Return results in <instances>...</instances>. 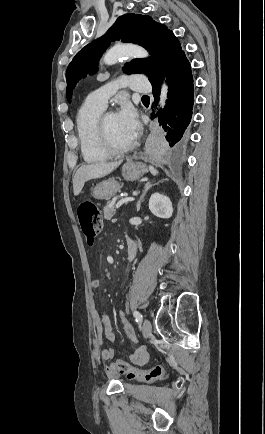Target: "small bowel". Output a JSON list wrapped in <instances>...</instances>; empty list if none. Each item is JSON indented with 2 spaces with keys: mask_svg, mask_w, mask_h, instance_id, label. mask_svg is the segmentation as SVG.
Returning <instances> with one entry per match:
<instances>
[{
  "mask_svg": "<svg viewBox=\"0 0 265 434\" xmlns=\"http://www.w3.org/2000/svg\"><path fill=\"white\" fill-rule=\"evenodd\" d=\"M132 241V240H131ZM130 241V242H131ZM101 286V283L98 279H94L91 282V289L93 291L98 290ZM119 319L122 323V326L128 335L129 339L138 345V348L135 353V359L140 361H145L149 358V354L146 350V347L143 344H140L135 332L133 330L132 325L128 321L126 314L123 311H119L118 313ZM93 320L96 327V333H95V342L98 348L99 356L102 360L108 361L114 357L115 350L112 347V344L115 343L116 336L112 329V323L108 315L101 312L98 309H95L93 311ZM104 340L109 342L111 345H105ZM108 378L114 377L113 371L107 372ZM116 380H119V377H116Z\"/></svg>",
  "mask_w": 265,
  "mask_h": 434,
  "instance_id": "obj_1",
  "label": "small bowel"
}]
</instances>
